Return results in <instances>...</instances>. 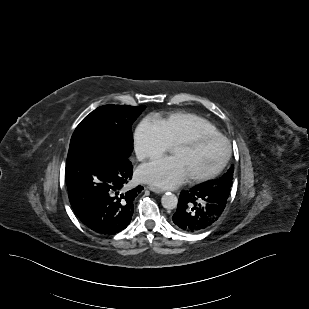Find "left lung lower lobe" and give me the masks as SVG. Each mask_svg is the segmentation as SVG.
<instances>
[{
  "instance_id": "1",
  "label": "left lung lower lobe",
  "mask_w": 309,
  "mask_h": 309,
  "mask_svg": "<svg viewBox=\"0 0 309 309\" xmlns=\"http://www.w3.org/2000/svg\"><path fill=\"white\" fill-rule=\"evenodd\" d=\"M229 192L200 184L182 191L172 220L175 226L187 233H199L211 227L222 215Z\"/></svg>"
}]
</instances>
